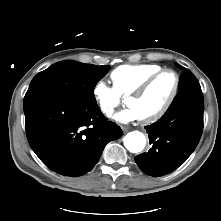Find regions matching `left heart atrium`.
<instances>
[{
  "label": "left heart atrium",
  "instance_id": "obj_1",
  "mask_svg": "<svg viewBox=\"0 0 221 221\" xmlns=\"http://www.w3.org/2000/svg\"><path fill=\"white\" fill-rule=\"evenodd\" d=\"M114 119L121 124H128L141 118L136 109L133 107H127L117 112L114 116Z\"/></svg>",
  "mask_w": 221,
  "mask_h": 221
}]
</instances>
